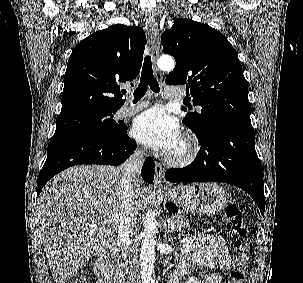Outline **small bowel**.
<instances>
[{
    "instance_id": "small-bowel-1",
    "label": "small bowel",
    "mask_w": 303,
    "mask_h": 283,
    "mask_svg": "<svg viewBox=\"0 0 303 283\" xmlns=\"http://www.w3.org/2000/svg\"><path fill=\"white\" fill-rule=\"evenodd\" d=\"M197 265L205 269L227 270L230 265L228 247L224 239L218 235H194L182 241V257L172 274V283H178L189 265ZM99 275L98 283H110L107 273L99 266L96 269ZM185 283H222L219 274H207L203 280L189 278Z\"/></svg>"
}]
</instances>
